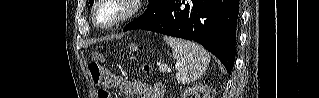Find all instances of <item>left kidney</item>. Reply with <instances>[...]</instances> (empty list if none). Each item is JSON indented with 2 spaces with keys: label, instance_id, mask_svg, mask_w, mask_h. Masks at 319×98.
I'll return each instance as SVG.
<instances>
[{
  "label": "left kidney",
  "instance_id": "obj_1",
  "mask_svg": "<svg viewBox=\"0 0 319 98\" xmlns=\"http://www.w3.org/2000/svg\"><path fill=\"white\" fill-rule=\"evenodd\" d=\"M211 88L205 84H197L186 88L182 94V98H210Z\"/></svg>",
  "mask_w": 319,
  "mask_h": 98
}]
</instances>
